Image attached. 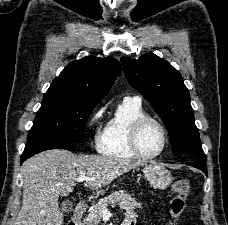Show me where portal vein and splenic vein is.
Instances as JSON below:
<instances>
[{
  "instance_id": "1",
  "label": "portal vein and splenic vein",
  "mask_w": 228,
  "mask_h": 225,
  "mask_svg": "<svg viewBox=\"0 0 228 225\" xmlns=\"http://www.w3.org/2000/svg\"><path fill=\"white\" fill-rule=\"evenodd\" d=\"M83 181H93V179H87V177H78L77 183H83ZM110 211H108L107 207H103L102 215H108Z\"/></svg>"
}]
</instances>
